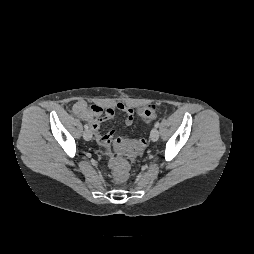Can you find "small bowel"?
<instances>
[{
  "mask_svg": "<svg viewBox=\"0 0 254 254\" xmlns=\"http://www.w3.org/2000/svg\"><path fill=\"white\" fill-rule=\"evenodd\" d=\"M74 111L78 113L84 120L88 121L97 141L104 147L108 148L115 138L114 130L102 133L100 131L101 124L111 119L116 111L125 114L124 125L126 127L132 125L134 120V111L132 108L123 103H118L115 107L103 108L98 105H88L85 101H78L74 105ZM134 156V154H132Z\"/></svg>",
  "mask_w": 254,
  "mask_h": 254,
  "instance_id": "small-bowel-1",
  "label": "small bowel"
}]
</instances>
